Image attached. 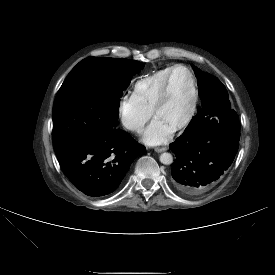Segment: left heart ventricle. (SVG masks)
I'll return each instance as SVG.
<instances>
[{"label":"left heart ventricle","instance_id":"b2bd125f","mask_svg":"<svg viewBox=\"0 0 275 275\" xmlns=\"http://www.w3.org/2000/svg\"><path fill=\"white\" fill-rule=\"evenodd\" d=\"M192 101V90L188 73L177 69L171 78L167 99L156 117L174 128L187 116Z\"/></svg>","mask_w":275,"mask_h":275}]
</instances>
